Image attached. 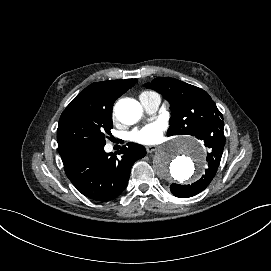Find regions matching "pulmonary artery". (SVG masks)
<instances>
[{
  "label": "pulmonary artery",
  "instance_id": "pulmonary-artery-1",
  "mask_svg": "<svg viewBox=\"0 0 271 271\" xmlns=\"http://www.w3.org/2000/svg\"><path fill=\"white\" fill-rule=\"evenodd\" d=\"M140 102H141L143 108L147 112L154 113L158 110L161 99L158 94L143 95V96H140ZM110 149H111V145L106 144L105 151L109 152Z\"/></svg>",
  "mask_w": 271,
  "mask_h": 271
}]
</instances>
